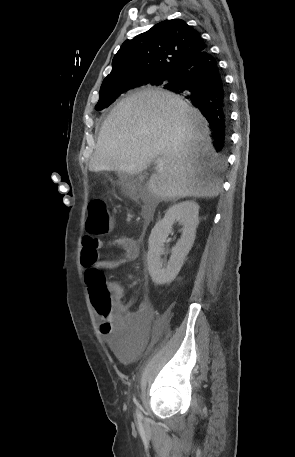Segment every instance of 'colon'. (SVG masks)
<instances>
[{"label": "colon", "instance_id": "5ec220e1", "mask_svg": "<svg viewBox=\"0 0 295 457\" xmlns=\"http://www.w3.org/2000/svg\"><path fill=\"white\" fill-rule=\"evenodd\" d=\"M111 217L105 201L94 199L88 205L86 228L91 234L100 235L110 231ZM85 278L92 303L100 321L107 322L113 309V295L106 279L96 264H88Z\"/></svg>", "mask_w": 295, "mask_h": 457}]
</instances>
